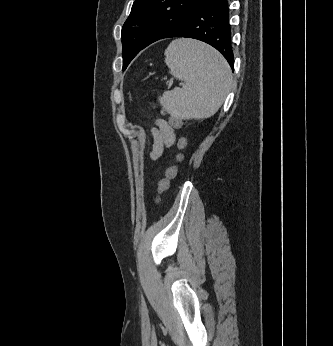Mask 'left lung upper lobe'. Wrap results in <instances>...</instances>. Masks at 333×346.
Returning a JSON list of instances; mask_svg holds the SVG:
<instances>
[{
    "instance_id": "left-lung-upper-lobe-1",
    "label": "left lung upper lobe",
    "mask_w": 333,
    "mask_h": 346,
    "mask_svg": "<svg viewBox=\"0 0 333 346\" xmlns=\"http://www.w3.org/2000/svg\"><path fill=\"white\" fill-rule=\"evenodd\" d=\"M204 0H135L122 28L123 69L149 44L159 40ZM139 25L141 28H132Z\"/></svg>"
}]
</instances>
